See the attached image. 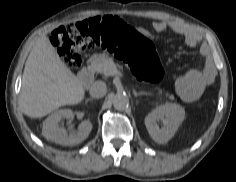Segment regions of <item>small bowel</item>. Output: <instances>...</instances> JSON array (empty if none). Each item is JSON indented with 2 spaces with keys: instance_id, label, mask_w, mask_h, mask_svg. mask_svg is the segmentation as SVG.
<instances>
[{
  "instance_id": "small-bowel-1",
  "label": "small bowel",
  "mask_w": 236,
  "mask_h": 182,
  "mask_svg": "<svg viewBox=\"0 0 236 182\" xmlns=\"http://www.w3.org/2000/svg\"><path fill=\"white\" fill-rule=\"evenodd\" d=\"M152 27L153 33L145 29H143L142 32L156 39L160 33L167 29H171L174 33L182 36L189 47L194 48L200 44L199 35L194 30L179 23L162 20L154 22ZM200 52L204 60L203 67H194L187 70L177 79L175 84L177 94L185 102H193L199 99L204 90L213 82L214 79L215 69L210 59L207 47L202 45Z\"/></svg>"
}]
</instances>
